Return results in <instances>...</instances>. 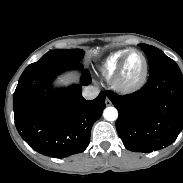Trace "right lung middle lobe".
<instances>
[{
    "instance_id": "dd1d6c3e",
    "label": "right lung middle lobe",
    "mask_w": 183,
    "mask_h": 183,
    "mask_svg": "<svg viewBox=\"0 0 183 183\" xmlns=\"http://www.w3.org/2000/svg\"><path fill=\"white\" fill-rule=\"evenodd\" d=\"M84 55L81 49L51 50L39 61L30 64L24 71H39L51 67L69 65L79 62Z\"/></svg>"
}]
</instances>
